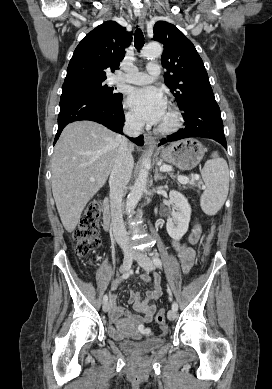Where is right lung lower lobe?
Masks as SVG:
<instances>
[{
  "instance_id": "obj_1",
  "label": "right lung lower lobe",
  "mask_w": 272,
  "mask_h": 389,
  "mask_svg": "<svg viewBox=\"0 0 272 389\" xmlns=\"http://www.w3.org/2000/svg\"><path fill=\"white\" fill-rule=\"evenodd\" d=\"M121 101L108 102L84 93L62 94L54 144L67 124L79 120L95 121L122 134L125 120ZM130 140L140 146L144 144L143 136L130 138Z\"/></svg>"
}]
</instances>
